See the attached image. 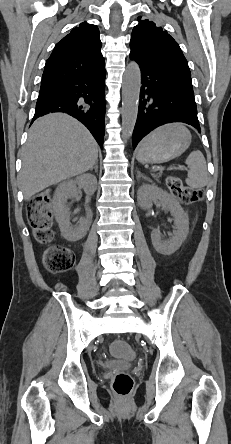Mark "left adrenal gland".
Wrapping results in <instances>:
<instances>
[{
	"instance_id": "obj_1",
	"label": "left adrenal gland",
	"mask_w": 231,
	"mask_h": 444,
	"mask_svg": "<svg viewBox=\"0 0 231 444\" xmlns=\"http://www.w3.org/2000/svg\"><path fill=\"white\" fill-rule=\"evenodd\" d=\"M140 178L148 180V178L146 176H144L140 171H137V179L139 180Z\"/></svg>"
}]
</instances>
